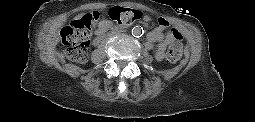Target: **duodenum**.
Returning <instances> with one entry per match:
<instances>
[{
	"label": "duodenum",
	"instance_id": "410a0bca",
	"mask_svg": "<svg viewBox=\"0 0 255 122\" xmlns=\"http://www.w3.org/2000/svg\"><path fill=\"white\" fill-rule=\"evenodd\" d=\"M102 35H103V31H100V33L98 34L97 39H98V40H100V39H101V37H102Z\"/></svg>",
	"mask_w": 255,
	"mask_h": 122
}]
</instances>
